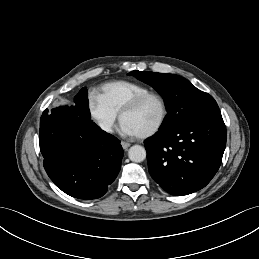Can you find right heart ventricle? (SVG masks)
Here are the masks:
<instances>
[{"mask_svg":"<svg viewBox=\"0 0 259 259\" xmlns=\"http://www.w3.org/2000/svg\"><path fill=\"white\" fill-rule=\"evenodd\" d=\"M100 92V96L118 114L129 101L150 91L140 84L118 80L103 84Z\"/></svg>","mask_w":259,"mask_h":259,"instance_id":"1","label":"right heart ventricle"}]
</instances>
